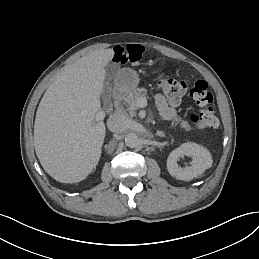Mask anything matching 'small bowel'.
<instances>
[{
  "label": "small bowel",
  "instance_id": "1",
  "mask_svg": "<svg viewBox=\"0 0 259 259\" xmlns=\"http://www.w3.org/2000/svg\"><path fill=\"white\" fill-rule=\"evenodd\" d=\"M143 52L144 48L139 44L117 45L112 49L113 61L119 64L137 62L141 59ZM155 101L162 119L176 122L184 129L190 128L185 120L178 117L164 95L157 94Z\"/></svg>",
  "mask_w": 259,
  "mask_h": 259
}]
</instances>
